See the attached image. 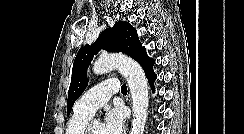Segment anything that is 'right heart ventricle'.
<instances>
[{"label":"right heart ventricle","instance_id":"right-heart-ventricle-1","mask_svg":"<svg viewBox=\"0 0 244 134\" xmlns=\"http://www.w3.org/2000/svg\"><path fill=\"white\" fill-rule=\"evenodd\" d=\"M91 116L74 111L66 126V134H84L85 127Z\"/></svg>","mask_w":244,"mask_h":134}]
</instances>
